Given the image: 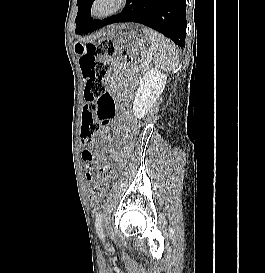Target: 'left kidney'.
I'll return each instance as SVG.
<instances>
[{"label":"left kidney","instance_id":"1","mask_svg":"<svg viewBox=\"0 0 265 273\" xmlns=\"http://www.w3.org/2000/svg\"><path fill=\"white\" fill-rule=\"evenodd\" d=\"M167 81V75L158 69L148 70L140 80L133 102V113L138 119L143 118L156 99L162 93Z\"/></svg>","mask_w":265,"mask_h":273}]
</instances>
